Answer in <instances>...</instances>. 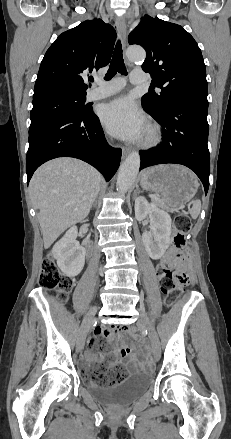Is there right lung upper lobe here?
I'll use <instances>...</instances> for the list:
<instances>
[{"mask_svg":"<svg viewBox=\"0 0 231 439\" xmlns=\"http://www.w3.org/2000/svg\"><path fill=\"white\" fill-rule=\"evenodd\" d=\"M116 38L101 19L87 20L63 32L47 50L33 98L50 93L86 94V73L106 66Z\"/></svg>","mask_w":231,"mask_h":439,"instance_id":"1","label":"right lung upper lobe"}]
</instances>
